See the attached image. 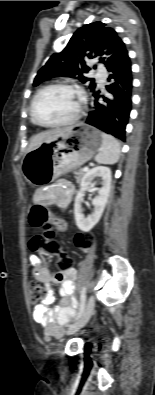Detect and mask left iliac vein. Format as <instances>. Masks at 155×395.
I'll return each instance as SVG.
<instances>
[{
  "label": "left iliac vein",
  "mask_w": 155,
  "mask_h": 395,
  "mask_svg": "<svg viewBox=\"0 0 155 395\" xmlns=\"http://www.w3.org/2000/svg\"><path fill=\"white\" fill-rule=\"evenodd\" d=\"M94 307H95V299L94 296L91 295L87 300L82 316L69 327L67 331L68 335L74 334L75 332H77L87 324V322L89 321V319L93 314Z\"/></svg>",
  "instance_id": "1"
}]
</instances>
